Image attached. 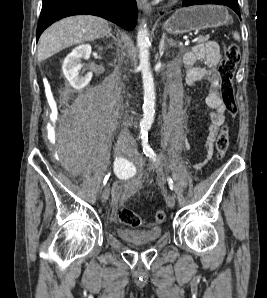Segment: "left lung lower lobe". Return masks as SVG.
<instances>
[{"label": "left lung lower lobe", "instance_id": "obj_1", "mask_svg": "<svg viewBox=\"0 0 267 298\" xmlns=\"http://www.w3.org/2000/svg\"><path fill=\"white\" fill-rule=\"evenodd\" d=\"M184 6H191L197 4H220L225 5L233 9L240 17V10L238 0H184L182 3Z\"/></svg>", "mask_w": 267, "mask_h": 298}]
</instances>
